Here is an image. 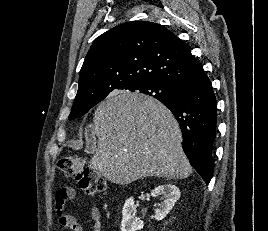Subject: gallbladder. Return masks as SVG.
Masks as SVG:
<instances>
[{
  "label": "gallbladder",
  "instance_id": "gallbladder-1",
  "mask_svg": "<svg viewBox=\"0 0 268 231\" xmlns=\"http://www.w3.org/2000/svg\"><path fill=\"white\" fill-rule=\"evenodd\" d=\"M94 151H95V146L93 144H89L87 146V152L88 153H94Z\"/></svg>",
  "mask_w": 268,
  "mask_h": 231
}]
</instances>
